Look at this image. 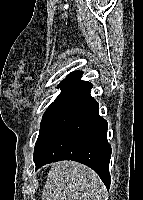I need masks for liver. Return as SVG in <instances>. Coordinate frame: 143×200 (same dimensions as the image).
<instances>
[{
	"mask_svg": "<svg viewBox=\"0 0 143 200\" xmlns=\"http://www.w3.org/2000/svg\"><path fill=\"white\" fill-rule=\"evenodd\" d=\"M105 186L91 168L74 161L51 166L42 200H104Z\"/></svg>",
	"mask_w": 143,
	"mask_h": 200,
	"instance_id": "liver-1",
	"label": "liver"
}]
</instances>
